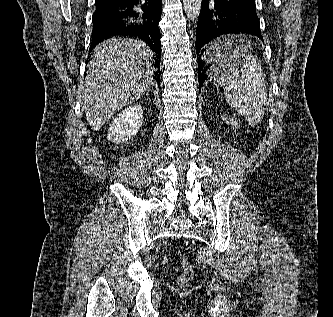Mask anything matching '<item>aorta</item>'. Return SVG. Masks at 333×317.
<instances>
[{
	"label": "aorta",
	"instance_id": "aorta-1",
	"mask_svg": "<svg viewBox=\"0 0 333 317\" xmlns=\"http://www.w3.org/2000/svg\"><path fill=\"white\" fill-rule=\"evenodd\" d=\"M202 0H183V6L187 18L192 21L197 20L201 10Z\"/></svg>",
	"mask_w": 333,
	"mask_h": 317
}]
</instances>
